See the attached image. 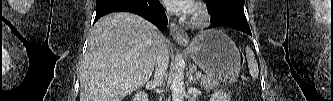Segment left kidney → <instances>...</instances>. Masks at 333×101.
<instances>
[{"label":"left kidney","mask_w":333,"mask_h":101,"mask_svg":"<svg viewBox=\"0 0 333 101\" xmlns=\"http://www.w3.org/2000/svg\"><path fill=\"white\" fill-rule=\"evenodd\" d=\"M211 101H230V96L223 91H215L210 99Z\"/></svg>","instance_id":"5707ae66"}]
</instances>
